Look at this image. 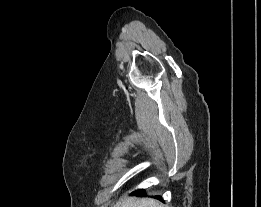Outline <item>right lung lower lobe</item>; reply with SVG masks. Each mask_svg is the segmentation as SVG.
I'll return each instance as SVG.
<instances>
[{
    "label": "right lung lower lobe",
    "instance_id": "1",
    "mask_svg": "<svg viewBox=\"0 0 261 207\" xmlns=\"http://www.w3.org/2000/svg\"><path fill=\"white\" fill-rule=\"evenodd\" d=\"M135 194L139 195V196H143V195H146V192L145 190L141 189V190H137L135 192ZM155 198L159 199V200H162V198L160 196H155Z\"/></svg>",
    "mask_w": 261,
    "mask_h": 207
}]
</instances>
